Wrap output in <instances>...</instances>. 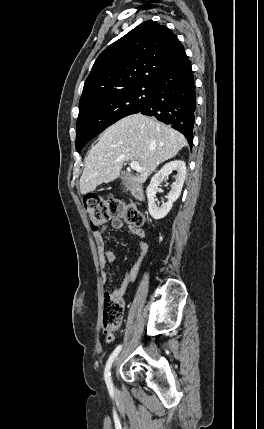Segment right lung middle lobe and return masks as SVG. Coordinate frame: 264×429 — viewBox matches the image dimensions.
I'll return each instance as SVG.
<instances>
[{"label": "right lung middle lobe", "instance_id": "1", "mask_svg": "<svg viewBox=\"0 0 264 429\" xmlns=\"http://www.w3.org/2000/svg\"><path fill=\"white\" fill-rule=\"evenodd\" d=\"M154 84H136L79 106L76 148L80 152L93 137L121 118L138 113L152 95Z\"/></svg>", "mask_w": 264, "mask_h": 429}]
</instances>
